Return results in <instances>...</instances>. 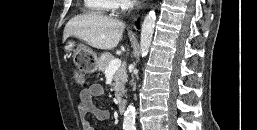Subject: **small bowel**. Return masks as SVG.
Wrapping results in <instances>:
<instances>
[{
    "instance_id": "1",
    "label": "small bowel",
    "mask_w": 257,
    "mask_h": 130,
    "mask_svg": "<svg viewBox=\"0 0 257 130\" xmlns=\"http://www.w3.org/2000/svg\"><path fill=\"white\" fill-rule=\"evenodd\" d=\"M105 94L103 87L99 84H92L82 88L79 91V114L82 119L83 130H96V128L86 119L88 114L93 115L98 121H105L109 117V111L97 107L94 102V97H101Z\"/></svg>"
}]
</instances>
